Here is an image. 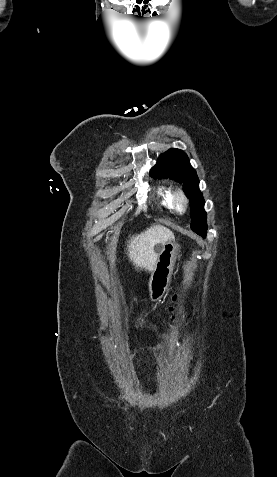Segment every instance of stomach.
Masks as SVG:
<instances>
[{
	"label": "stomach",
	"mask_w": 277,
	"mask_h": 477,
	"mask_svg": "<svg viewBox=\"0 0 277 477\" xmlns=\"http://www.w3.org/2000/svg\"><path fill=\"white\" fill-rule=\"evenodd\" d=\"M178 251L179 245L174 239L161 246L157 263L148 282L152 302L160 301L167 292Z\"/></svg>",
	"instance_id": "1"
}]
</instances>
